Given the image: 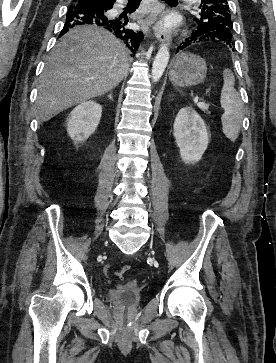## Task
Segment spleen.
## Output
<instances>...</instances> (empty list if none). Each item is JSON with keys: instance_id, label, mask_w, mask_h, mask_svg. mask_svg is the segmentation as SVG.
Returning a JSON list of instances; mask_svg holds the SVG:
<instances>
[{"instance_id": "obj_1", "label": "spleen", "mask_w": 276, "mask_h": 363, "mask_svg": "<svg viewBox=\"0 0 276 363\" xmlns=\"http://www.w3.org/2000/svg\"><path fill=\"white\" fill-rule=\"evenodd\" d=\"M224 84L221 90L220 103L224 109L221 116L222 131L231 141L239 135L243 120V102L234 88L235 77L230 69L223 71Z\"/></svg>"}]
</instances>
